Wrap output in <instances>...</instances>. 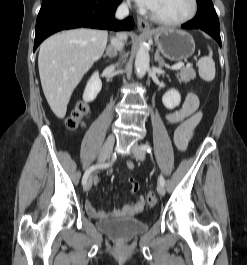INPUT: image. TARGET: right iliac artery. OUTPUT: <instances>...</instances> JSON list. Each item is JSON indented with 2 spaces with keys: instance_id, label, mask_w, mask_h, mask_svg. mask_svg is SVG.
I'll use <instances>...</instances> for the list:
<instances>
[{
  "instance_id": "82829eb1",
  "label": "right iliac artery",
  "mask_w": 247,
  "mask_h": 265,
  "mask_svg": "<svg viewBox=\"0 0 247 265\" xmlns=\"http://www.w3.org/2000/svg\"><path fill=\"white\" fill-rule=\"evenodd\" d=\"M109 166H110V163H105V164H102V165H99V164H98V165H93V166H91L90 168H88V169L85 171V173H84V175H83V178H82V184H83V186L86 184L89 175H90L94 170L99 169V168H107V167H109Z\"/></svg>"
}]
</instances>
